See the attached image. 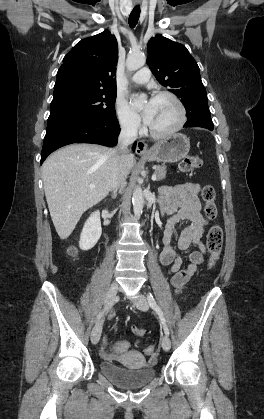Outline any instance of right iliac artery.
<instances>
[{
  "mask_svg": "<svg viewBox=\"0 0 264 419\" xmlns=\"http://www.w3.org/2000/svg\"><path fill=\"white\" fill-rule=\"evenodd\" d=\"M103 312H104V311H102V312H100V313H99V315H98V317H97V321H99V320H100V318H101V316H102Z\"/></svg>",
  "mask_w": 264,
  "mask_h": 419,
  "instance_id": "right-iliac-artery-1",
  "label": "right iliac artery"
}]
</instances>
